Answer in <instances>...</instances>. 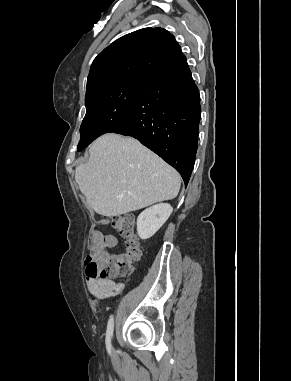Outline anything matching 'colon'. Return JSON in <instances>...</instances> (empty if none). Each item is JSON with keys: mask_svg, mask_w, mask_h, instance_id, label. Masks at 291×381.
Listing matches in <instances>:
<instances>
[{"mask_svg": "<svg viewBox=\"0 0 291 381\" xmlns=\"http://www.w3.org/2000/svg\"><path fill=\"white\" fill-rule=\"evenodd\" d=\"M103 223L125 239L126 250L113 253L104 248L91 247L87 255L86 274L92 278L128 276L142 256V248L134 234V219L130 215L111 216Z\"/></svg>", "mask_w": 291, "mask_h": 381, "instance_id": "obj_1", "label": "colon"}]
</instances>
